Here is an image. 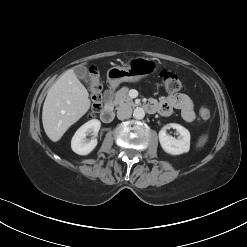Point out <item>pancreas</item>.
<instances>
[{
    "label": "pancreas",
    "mask_w": 247,
    "mask_h": 247,
    "mask_svg": "<svg viewBox=\"0 0 247 247\" xmlns=\"http://www.w3.org/2000/svg\"><path fill=\"white\" fill-rule=\"evenodd\" d=\"M129 88L128 87H122L120 90H118L115 93L114 98V105L115 106H122V105H128V106H135L132 98L128 95Z\"/></svg>",
    "instance_id": "1"
}]
</instances>
